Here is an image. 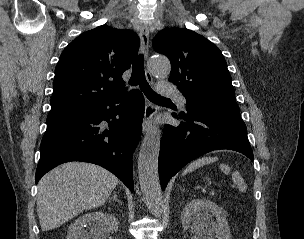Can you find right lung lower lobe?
Masks as SVG:
<instances>
[{"instance_id":"1","label":"right lung lower lobe","mask_w":304,"mask_h":239,"mask_svg":"<svg viewBox=\"0 0 304 239\" xmlns=\"http://www.w3.org/2000/svg\"><path fill=\"white\" fill-rule=\"evenodd\" d=\"M144 98L140 91L122 92L82 113L47 121L40 145L35 182L69 161L100 165L134 189L132 153L141 136ZM108 122L105 129L103 122Z\"/></svg>"}]
</instances>
